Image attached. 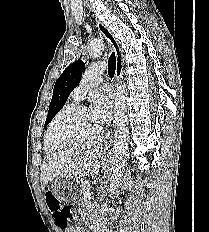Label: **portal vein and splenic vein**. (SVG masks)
Returning a JSON list of instances; mask_svg holds the SVG:
<instances>
[{
	"label": "portal vein and splenic vein",
	"mask_w": 209,
	"mask_h": 232,
	"mask_svg": "<svg viewBox=\"0 0 209 232\" xmlns=\"http://www.w3.org/2000/svg\"><path fill=\"white\" fill-rule=\"evenodd\" d=\"M90 196H91V193H90V191H86L85 193H84V197L87 199V198H90Z\"/></svg>",
	"instance_id": "portal-vein-and-splenic-vein-1"
}]
</instances>
